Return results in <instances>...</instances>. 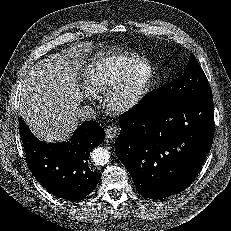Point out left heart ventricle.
I'll return each mask as SVG.
<instances>
[{"label": "left heart ventricle", "instance_id": "1", "mask_svg": "<svg viewBox=\"0 0 231 231\" xmlns=\"http://www.w3.org/2000/svg\"><path fill=\"white\" fill-rule=\"evenodd\" d=\"M148 74H149V71L146 67L141 68L131 79L129 91L133 92L138 87H140L146 81Z\"/></svg>", "mask_w": 231, "mask_h": 231}]
</instances>
